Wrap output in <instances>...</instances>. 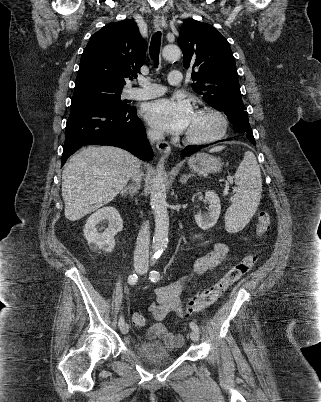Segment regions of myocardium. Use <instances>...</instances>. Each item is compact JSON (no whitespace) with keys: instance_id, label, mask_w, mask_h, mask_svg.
I'll return each mask as SVG.
<instances>
[{"instance_id":"obj_1","label":"myocardium","mask_w":321,"mask_h":402,"mask_svg":"<svg viewBox=\"0 0 321 402\" xmlns=\"http://www.w3.org/2000/svg\"><path fill=\"white\" fill-rule=\"evenodd\" d=\"M196 112H205V113H210L212 114L217 120H218V129L216 130L215 133L209 136L205 137H200V136H195L189 133L185 134V140L186 142L194 145H203V144H209L213 143L215 141L220 140L227 132L228 129V120L226 116L217 108L212 107V106H200L196 108Z\"/></svg>"}]
</instances>
